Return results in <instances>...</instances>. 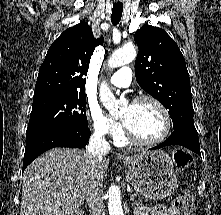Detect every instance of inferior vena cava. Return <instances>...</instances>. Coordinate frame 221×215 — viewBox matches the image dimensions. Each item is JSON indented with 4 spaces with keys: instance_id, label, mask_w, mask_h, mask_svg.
Returning a JSON list of instances; mask_svg holds the SVG:
<instances>
[{
    "instance_id": "602c4592",
    "label": "inferior vena cava",
    "mask_w": 221,
    "mask_h": 215,
    "mask_svg": "<svg viewBox=\"0 0 221 215\" xmlns=\"http://www.w3.org/2000/svg\"><path fill=\"white\" fill-rule=\"evenodd\" d=\"M111 147L104 138V133L101 130H95L89 145L86 149V156L91 159L93 164L105 158V155L110 151ZM101 188L92 186L88 193L86 202L90 209L91 215H105V207L101 201Z\"/></svg>"
}]
</instances>
